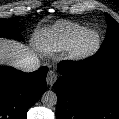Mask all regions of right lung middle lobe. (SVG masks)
Wrapping results in <instances>:
<instances>
[{
	"label": "right lung middle lobe",
	"mask_w": 119,
	"mask_h": 119,
	"mask_svg": "<svg viewBox=\"0 0 119 119\" xmlns=\"http://www.w3.org/2000/svg\"><path fill=\"white\" fill-rule=\"evenodd\" d=\"M15 20L16 18H0V37H16L18 35V29L15 26Z\"/></svg>",
	"instance_id": "1"
}]
</instances>
